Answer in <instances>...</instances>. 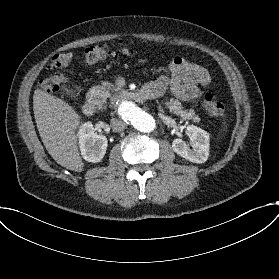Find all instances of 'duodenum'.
<instances>
[{"mask_svg": "<svg viewBox=\"0 0 279 279\" xmlns=\"http://www.w3.org/2000/svg\"><path fill=\"white\" fill-rule=\"evenodd\" d=\"M118 93L122 98L127 100H132L135 102H143L149 97L148 93L143 89L132 91L126 88H119ZM96 109H97V102L95 99L92 98L88 99L83 105V113L86 116L94 115Z\"/></svg>", "mask_w": 279, "mask_h": 279, "instance_id": "1", "label": "duodenum"}]
</instances>
